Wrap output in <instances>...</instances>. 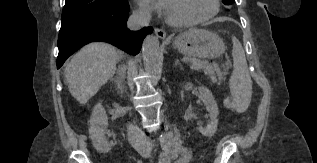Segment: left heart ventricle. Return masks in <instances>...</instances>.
I'll return each mask as SVG.
<instances>
[{"label":"left heart ventricle","mask_w":317,"mask_h":163,"mask_svg":"<svg viewBox=\"0 0 317 163\" xmlns=\"http://www.w3.org/2000/svg\"><path fill=\"white\" fill-rule=\"evenodd\" d=\"M211 10V0H168L165 14L172 20L185 22L203 17Z\"/></svg>","instance_id":"b2bd125f"}]
</instances>
